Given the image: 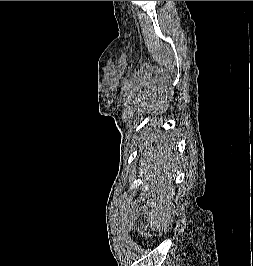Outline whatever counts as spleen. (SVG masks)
<instances>
[{
	"label": "spleen",
	"mask_w": 253,
	"mask_h": 266,
	"mask_svg": "<svg viewBox=\"0 0 253 266\" xmlns=\"http://www.w3.org/2000/svg\"><path fill=\"white\" fill-rule=\"evenodd\" d=\"M157 150H172L174 144L172 141H157L155 144ZM175 163L172 160L161 161L160 165H149L147 170H142V179H170L175 172ZM169 210L166 207H122V216H134V223L137 227L138 235H172V226L164 223L163 216L168 215ZM151 239V236H146Z\"/></svg>",
	"instance_id": "3e777b00"
}]
</instances>
